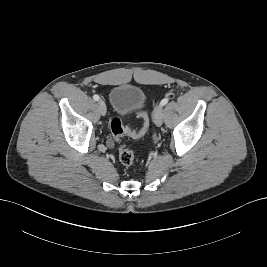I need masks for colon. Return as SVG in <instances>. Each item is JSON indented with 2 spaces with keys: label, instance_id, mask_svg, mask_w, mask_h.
I'll list each match as a JSON object with an SVG mask.
<instances>
[{
  "label": "colon",
  "instance_id": "5ec220e1",
  "mask_svg": "<svg viewBox=\"0 0 267 267\" xmlns=\"http://www.w3.org/2000/svg\"><path fill=\"white\" fill-rule=\"evenodd\" d=\"M138 117L142 120V125L139 129L134 130L124 127L121 120L118 117H114L110 121V131L113 138L119 141L124 136H129L132 138L143 137L149 128V117L144 111L138 113ZM119 160L124 166H132L135 160V154L132 149L125 145H119L118 147Z\"/></svg>",
  "mask_w": 267,
  "mask_h": 267
}]
</instances>
